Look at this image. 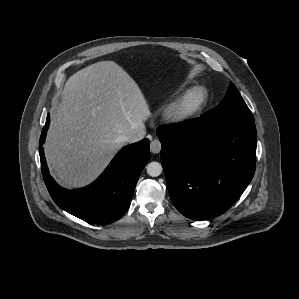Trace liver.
<instances>
[{
  "label": "liver",
  "mask_w": 299,
  "mask_h": 299,
  "mask_svg": "<svg viewBox=\"0 0 299 299\" xmlns=\"http://www.w3.org/2000/svg\"><path fill=\"white\" fill-rule=\"evenodd\" d=\"M150 115L139 86L115 62L76 72L51 116L45 154L52 175L66 188L89 184L123 146L120 137L144 126Z\"/></svg>",
  "instance_id": "liver-1"
}]
</instances>
